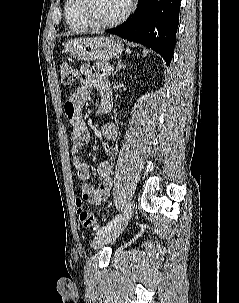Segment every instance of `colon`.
Masks as SVG:
<instances>
[{
	"mask_svg": "<svg viewBox=\"0 0 239 303\" xmlns=\"http://www.w3.org/2000/svg\"><path fill=\"white\" fill-rule=\"evenodd\" d=\"M61 82L64 86H72L78 80V71L68 62H63L59 67ZM77 215L81 225L85 228L96 229L98 227L97 219L94 214L83 209V202L80 197L75 200Z\"/></svg>",
	"mask_w": 239,
	"mask_h": 303,
	"instance_id": "obj_1",
	"label": "colon"
}]
</instances>
